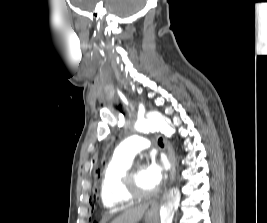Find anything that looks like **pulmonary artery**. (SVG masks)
I'll list each match as a JSON object with an SVG mask.
<instances>
[{
	"label": "pulmonary artery",
	"instance_id": "obj_1",
	"mask_svg": "<svg viewBox=\"0 0 267 223\" xmlns=\"http://www.w3.org/2000/svg\"><path fill=\"white\" fill-rule=\"evenodd\" d=\"M150 142L145 135H134L121 142L114 154L120 158L132 160L137 153L149 147Z\"/></svg>",
	"mask_w": 267,
	"mask_h": 223
}]
</instances>
